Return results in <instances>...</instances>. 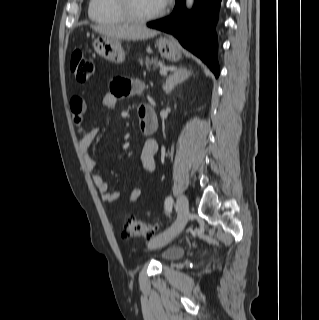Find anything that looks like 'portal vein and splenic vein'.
Wrapping results in <instances>:
<instances>
[{"mask_svg":"<svg viewBox=\"0 0 319 320\" xmlns=\"http://www.w3.org/2000/svg\"><path fill=\"white\" fill-rule=\"evenodd\" d=\"M160 74L166 76L167 75V69L165 67H161Z\"/></svg>","mask_w":319,"mask_h":320,"instance_id":"obj_1","label":"portal vein and splenic vein"}]
</instances>
